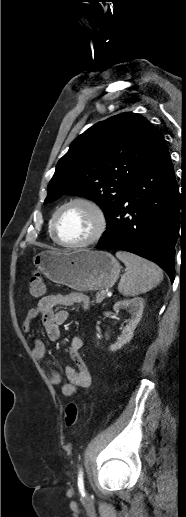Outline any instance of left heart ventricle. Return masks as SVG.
Listing matches in <instances>:
<instances>
[{
  "instance_id": "left-heart-ventricle-1",
  "label": "left heart ventricle",
  "mask_w": 186,
  "mask_h": 517,
  "mask_svg": "<svg viewBox=\"0 0 186 517\" xmlns=\"http://www.w3.org/2000/svg\"><path fill=\"white\" fill-rule=\"evenodd\" d=\"M95 228L93 213L83 205L65 208L58 217L57 232L68 243H77L91 235Z\"/></svg>"
}]
</instances>
